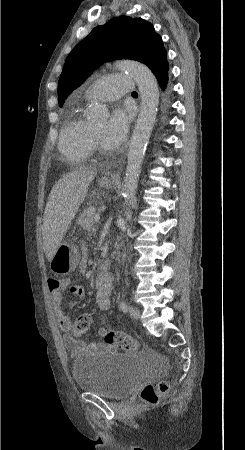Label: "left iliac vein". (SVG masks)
Instances as JSON below:
<instances>
[{
	"mask_svg": "<svg viewBox=\"0 0 245 450\" xmlns=\"http://www.w3.org/2000/svg\"><path fill=\"white\" fill-rule=\"evenodd\" d=\"M129 313L133 319H139L140 317V310L135 306L129 307Z\"/></svg>",
	"mask_w": 245,
	"mask_h": 450,
	"instance_id": "4c4485c4",
	"label": "left iliac vein"
}]
</instances>
